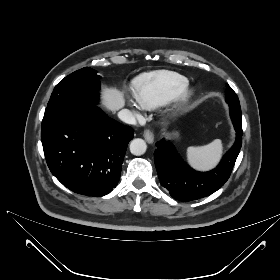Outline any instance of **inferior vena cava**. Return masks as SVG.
Listing matches in <instances>:
<instances>
[{
    "instance_id": "inferior-vena-cava-1",
    "label": "inferior vena cava",
    "mask_w": 280,
    "mask_h": 280,
    "mask_svg": "<svg viewBox=\"0 0 280 280\" xmlns=\"http://www.w3.org/2000/svg\"><path fill=\"white\" fill-rule=\"evenodd\" d=\"M118 118L127 124L136 125L137 123L133 113L127 109H122L121 111H119Z\"/></svg>"
}]
</instances>
